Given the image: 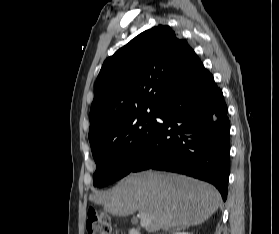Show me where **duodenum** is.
<instances>
[{
	"mask_svg": "<svg viewBox=\"0 0 279 234\" xmlns=\"http://www.w3.org/2000/svg\"><path fill=\"white\" fill-rule=\"evenodd\" d=\"M129 234H141V233L138 232V231L135 230V229H131V230L129 231Z\"/></svg>",
	"mask_w": 279,
	"mask_h": 234,
	"instance_id": "duodenum-1",
	"label": "duodenum"
}]
</instances>
